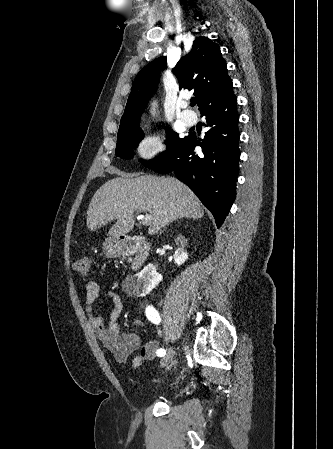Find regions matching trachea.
Instances as JSON below:
<instances>
[{
    "instance_id": "3493384b",
    "label": "trachea",
    "mask_w": 333,
    "mask_h": 449,
    "mask_svg": "<svg viewBox=\"0 0 333 449\" xmlns=\"http://www.w3.org/2000/svg\"><path fill=\"white\" fill-rule=\"evenodd\" d=\"M196 105V99L195 98H192L191 99V106H195Z\"/></svg>"
}]
</instances>
